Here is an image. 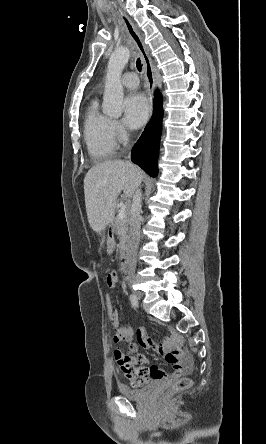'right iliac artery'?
I'll list each match as a JSON object with an SVG mask.
<instances>
[{"label": "right iliac artery", "mask_w": 266, "mask_h": 444, "mask_svg": "<svg viewBox=\"0 0 266 444\" xmlns=\"http://www.w3.org/2000/svg\"><path fill=\"white\" fill-rule=\"evenodd\" d=\"M130 302H131V304H132V306L133 307H138V301H137V299L135 298V296L134 295H130Z\"/></svg>", "instance_id": "obj_1"}]
</instances>
